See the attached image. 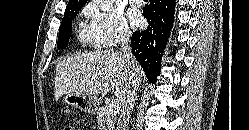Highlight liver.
<instances>
[{
  "label": "liver",
  "instance_id": "liver-1",
  "mask_svg": "<svg viewBox=\"0 0 249 130\" xmlns=\"http://www.w3.org/2000/svg\"><path fill=\"white\" fill-rule=\"evenodd\" d=\"M134 68L141 82L144 73L136 61ZM129 81L130 67L124 62L121 52L97 50L67 56L56 66L55 100L69 93L106 94L115 88L117 101L122 105Z\"/></svg>",
  "mask_w": 249,
  "mask_h": 130
}]
</instances>
